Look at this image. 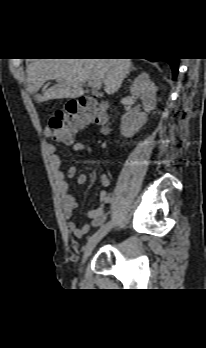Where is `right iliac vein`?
Returning <instances> with one entry per match:
<instances>
[{
  "label": "right iliac vein",
  "instance_id": "63e3f726",
  "mask_svg": "<svg viewBox=\"0 0 206 348\" xmlns=\"http://www.w3.org/2000/svg\"><path fill=\"white\" fill-rule=\"evenodd\" d=\"M112 223H107L100 227L88 240L83 253V260L85 261L92 253L98 242L111 230Z\"/></svg>",
  "mask_w": 206,
  "mask_h": 348
}]
</instances>
